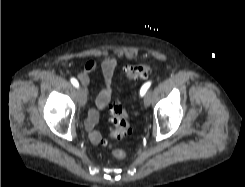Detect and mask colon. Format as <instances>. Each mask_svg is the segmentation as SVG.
<instances>
[{
	"label": "colon",
	"mask_w": 245,
	"mask_h": 187,
	"mask_svg": "<svg viewBox=\"0 0 245 187\" xmlns=\"http://www.w3.org/2000/svg\"><path fill=\"white\" fill-rule=\"evenodd\" d=\"M153 65L150 63H138L129 66L125 74L129 78L146 77L152 72ZM111 123H112V136L116 139H124L131 133V126L129 123V113L120 104L114 103L110 109ZM113 155L117 159L125 157L126 153L124 150L116 149L113 151Z\"/></svg>",
	"instance_id": "1"
}]
</instances>
